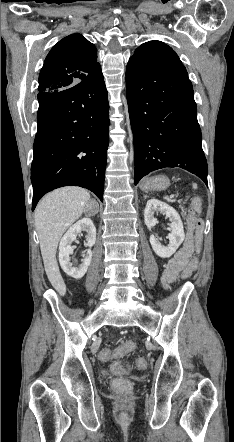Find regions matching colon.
<instances>
[{"instance_id":"5ec220e1","label":"colon","mask_w":234,"mask_h":442,"mask_svg":"<svg viewBox=\"0 0 234 442\" xmlns=\"http://www.w3.org/2000/svg\"><path fill=\"white\" fill-rule=\"evenodd\" d=\"M203 201L201 197H195L189 207L190 226L192 229L191 241H193L195 248L198 250L202 241V221L199 214L202 210ZM200 258L198 254L192 255V260L188 261L185 270L182 272V278L188 279L192 274L197 273ZM135 345L129 341H124L122 344L110 347L106 346L99 348V359L103 362L112 361L111 369L117 375H123L131 371L132 365H129L121 360L127 353L132 352ZM134 366L138 369L145 367V359L141 356L133 359ZM112 387L118 391L125 392L133 388L132 380L117 379L112 382Z\"/></svg>"}]
</instances>
